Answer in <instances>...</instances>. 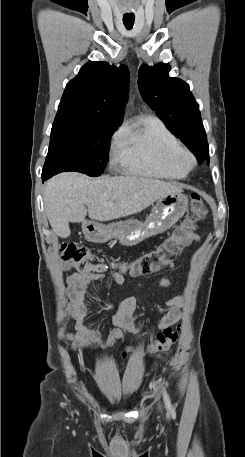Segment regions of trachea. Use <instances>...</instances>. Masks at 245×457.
<instances>
[{
	"instance_id": "3493384b",
	"label": "trachea",
	"mask_w": 245,
	"mask_h": 457,
	"mask_svg": "<svg viewBox=\"0 0 245 457\" xmlns=\"http://www.w3.org/2000/svg\"><path fill=\"white\" fill-rule=\"evenodd\" d=\"M135 16L134 13H125L123 15V23L127 30H131L134 25Z\"/></svg>"
}]
</instances>
